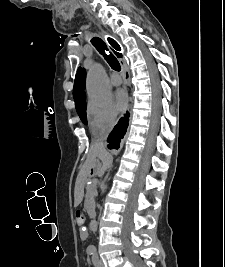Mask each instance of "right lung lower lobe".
<instances>
[{"label": "right lung lower lobe", "mask_w": 225, "mask_h": 267, "mask_svg": "<svg viewBox=\"0 0 225 267\" xmlns=\"http://www.w3.org/2000/svg\"><path fill=\"white\" fill-rule=\"evenodd\" d=\"M128 118H129V114L127 113L125 115V118H122L119 121L118 125H116V127L114 128L112 133L109 135L107 141L109 142L108 147L110 149H113V148L117 149L119 147L121 128H122V126H124L128 123Z\"/></svg>", "instance_id": "obj_1"}]
</instances>
